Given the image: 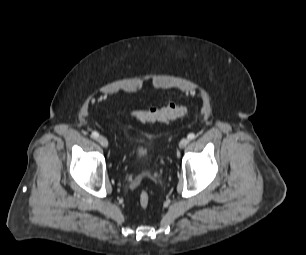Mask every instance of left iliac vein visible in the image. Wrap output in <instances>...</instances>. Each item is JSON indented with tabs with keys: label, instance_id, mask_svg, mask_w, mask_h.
Returning <instances> with one entry per match:
<instances>
[{
	"label": "left iliac vein",
	"instance_id": "obj_1",
	"mask_svg": "<svg viewBox=\"0 0 306 255\" xmlns=\"http://www.w3.org/2000/svg\"><path fill=\"white\" fill-rule=\"evenodd\" d=\"M189 143V139L188 138H183L181 139V141L179 142V147L181 149L185 148Z\"/></svg>",
	"mask_w": 306,
	"mask_h": 255
}]
</instances>
